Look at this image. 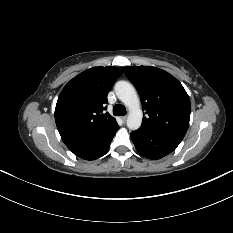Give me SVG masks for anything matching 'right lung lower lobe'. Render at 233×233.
Here are the masks:
<instances>
[{
    "label": "right lung lower lobe",
    "instance_id": "obj_1",
    "mask_svg": "<svg viewBox=\"0 0 233 233\" xmlns=\"http://www.w3.org/2000/svg\"><path fill=\"white\" fill-rule=\"evenodd\" d=\"M119 129L118 124L111 129L101 132L91 139L70 144L67 147L76 156L85 160H94L101 157L109 149L110 143Z\"/></svg>",
    "mask_w": 233,
    "mask_h": 233
}]
</instances>
